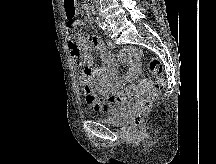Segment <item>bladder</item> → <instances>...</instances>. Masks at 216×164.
Masks as SVG:
<instances>
[{"label":"bladder","mask_w":216,"mask_h":164,"mask_svg":"<svg viewBox=\"0 0 216 164\" xmlns=\"http://www.w3.org/2000/svg\"><path fill=\"white\" fill-rule=\"evenodd\" d=\"M128 112L125 107L116 108L111 117L98 118V121L112 126H121L125 123Z\"/></svg>","instance_id":"obj_1"}]
</instances>
